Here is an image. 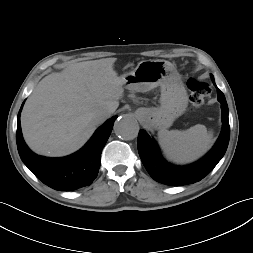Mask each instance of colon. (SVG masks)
I'll return each mask as SVG.
<instances>
[{
  "instance_id": "obj_1",
  "label": "colon",
  "mask_w": 253,
  "mask_h": 253,
  "mask_svg": "<svg viewBox=\"0 0 253 253\" xmlns=\"http://www.w3.org/2000/svg\"><path fill=\"white\" fill-rule=\"evenodd\" d=\"M188 88L191 92V103L195 109L200 108L205 98L210 94V86L207 82L197 78H191L188 81Z\"/></svg>"
}]
</instances>
